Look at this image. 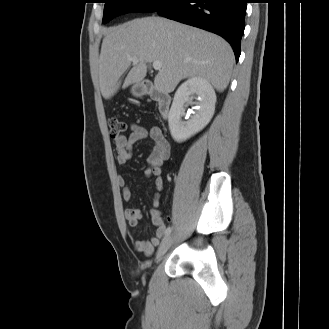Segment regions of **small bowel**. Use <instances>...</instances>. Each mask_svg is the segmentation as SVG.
Instances as JSON below:
<instances>
[{
    "label": "small bowel",
    "mask_w": 329,
    "mask_h": 329,
    "mask_svg": "<svg viewBox=\"0 0 329 329\" xmlns=\"http://www.w3.org/2000/svg\"><path fill=\"white\" fill-rule=\"evenodd\" d=\"M151 139L153 150L147 159L148 167L144 173L147 177H154L155 193L153 196V208L150 212L151 221L156 227L154 236L148 240H134V249L149 257L154 253L155 247L161 243L162 236L165 234V224L159 211L162 191L164 189V180L162 177V164L170 157V144L164 137L161 129L157 126L150 128L139 124L131 125V133L128 136H122L114 140L117 151V162L121 165L126 164L132 157V150L135 144L145 139ZM118 183L122 187V198L129 202L132 198V191L127 184L124 176H119ZM142 213L139 209L127 207L125 209V218L128 226L135 230L138 227Z\"/></svg>",
    "instance_id": "obj_1"
}]
</instances>
